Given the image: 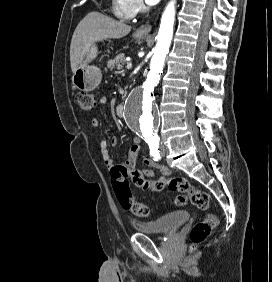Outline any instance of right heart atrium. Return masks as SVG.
<instances>
[{
	"label": "right heart atrium",
	"mask_w": 272,
	"mask_h": 282,
	"mask_svg": "<svg viewBox=\"0 0 272 282\" xmlns=\"http://www.w3.org/2000/svg\"><path fill=\"white\" fill-rule=\"evenodd\" d=\"M126 10L132 15L140 11L142 8L141 0H127Z\"/></svg>",
	"instance_id": "d8ad5b80"
}]
</instances>
